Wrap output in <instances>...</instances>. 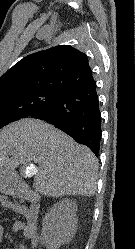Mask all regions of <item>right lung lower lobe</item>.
I'll return each mask as SVG.
<instances>
[{"label": "right lung lower lobe", "mask_w": 135, "mask_h": 249, "mask_svg": "<svg viewBox=\"0 0 135 249\" xmlns=\"http://www.w3.org/2000/svg\"><path fill=\"white\" fill-rule=\"evenodd\" d=\"M29 116L47 121L98 156L101 142V113L96 82L63 92L53 102Z\"/></svg>", "instance_id": "1"}]
</instances>
